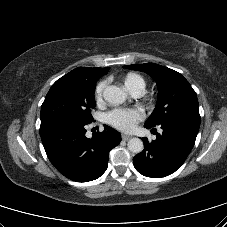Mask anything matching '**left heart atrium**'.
Instances as JSON below:
<instances>
[{
	"mask_svg": "<svg viewBox=\"0 0 227 227\" xmlns=\"http://www.w3.org/2000/svg\"><path fill=\"white\" fill-rule=\"evenodd\" d=\"M144 117L138 108H115L106 114L107 122L117 129L131 131Z\"/></svg>",
	"mask_w": 227,
	"mask_h": 227,
	"instance_id": "1",
	"label": "left heart atrium"
}]
</instances>
